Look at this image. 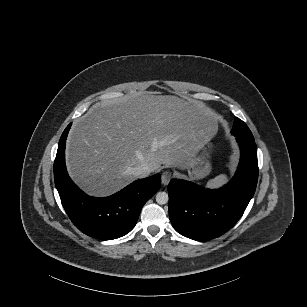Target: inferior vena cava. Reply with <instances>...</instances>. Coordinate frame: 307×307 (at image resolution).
<instances>
[{
  "mask_svg": "<svg viewBox=\"0 0 307 307\" xmlns=\"http://www.w3.org/2000/svg\"><path fill=\"white\" fill-rule=\"evenodd\" d=\"M129 172L136 178H144L150 174L151 170L148 165L142 164L138 167L131 168Z\"/></svg>",
  "mask_w": 307,
  "mask_h": 307,
  "instance_id": "1",
  "label": "inferior vena cava"
}]
</instances>
